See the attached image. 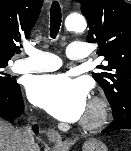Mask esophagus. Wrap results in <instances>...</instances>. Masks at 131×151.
<instances>
[{"label":"esophagus","mask_w":131,"mask_h":151,"mask_svg":"<svg viewBox=\"0 0 131 151\" xmlns=\"http://www.w3.org/2000/svg\"><path fill=\"white\" fill-rule=\"evenodd\" d=\"M47 136L51 142L58 144V145L63 144L62 137L57 130H55L53 128H48Z\"/></svg>","instance_id":"obj_1"}]
</instances>
